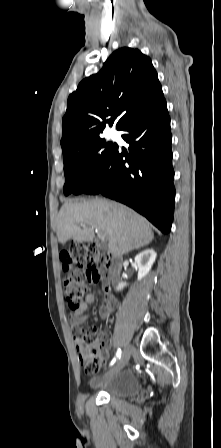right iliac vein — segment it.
Segmentation results:
<instances>
[{
    "mask_svg": "<svg viewBox=\"0 0 221 448\" xmlns=\"http://www.w3.org/2000/svg\"><path fill=\"white\" fill-rule=\"evenodd\" d=\"M133 351V347L131 345H127L116 365L111 369V372H118L122 370L128 363L131 353Z\"/></svg>",
    "mask_w": 221,
    "mask_h": 448,
    "instance_id": "1",
    "label": "right iliac vein"
}]
</instances>
